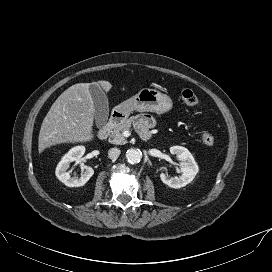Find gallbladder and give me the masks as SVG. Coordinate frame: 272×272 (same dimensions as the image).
<instances>
[{
    "label": "gallbladder",
    "instance_id": "obj_1",
    "mask_svg": "<svg viewBox=\"0 0 272 272\" xmlns=\"http://www.w3.org/2000/svg\"><path fill=\"white\" fill-rule=\"evenodd\" d=\"M89 91L95 106V122L98 128L104 127L109 116V102L98 83H91Z\"/></svg>",
    "mask_w": 272,
    "mask_h": 272
}]
</instances>
